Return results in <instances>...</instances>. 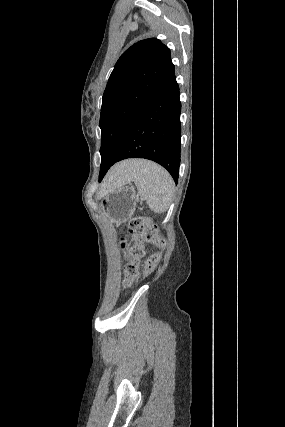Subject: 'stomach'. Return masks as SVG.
Listing matches in <instances>:
<instances>
[{"label":"stomach","mask_w":285,"mask_h":427,"mask_svg":"<svg viewBox=\"0 0 285 427\" xmlns=\"http://www.w3.org/2000/svg\"><path fill=\"white\" fill-rule=\"evenodd\" d=\"M137 194L133 187L121 185L109 190L101 200L104 215L113 223H123L134 214Z\"/></svg>","instance_id":"obj_1"}]
</instances>
